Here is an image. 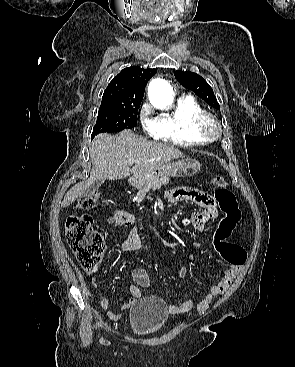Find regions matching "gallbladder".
<instances>
[{
    "label": "gallbladder",
    "mask_w": 295,
    "mask_h": 367,
    "mask_svg": "<svg viewBox=\"0 0 295 367\" xmlns=\"http://www.w3.org/2000/svg\"><path fill=\"white\" fill-rule=\"evenodd\" d=\"M104 180H98L96 182H94L87 190H86V194L87 195H92L94 194L96 191H98L99 187L103 184Z\"/></svg>",
    "instance_id": "bac80fb5"
}]
</instances>
